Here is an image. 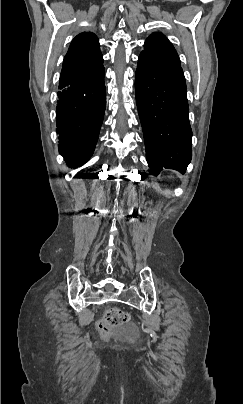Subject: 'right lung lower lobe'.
I'll return each mask as SVG.
<instances>
[{
    "label": "right lung lower lobe",
    "mask_w": 243,
    "mask_h": 404,
    "mask_svg": "<svg viewBox=\"0 0 243 404\" xmlns=\"http://www.w3.org/2000/svg\"><path fill=\"white\" fill-rule=\"evenodd\" d=\"M56 107L59 152L76 168L92 156L106 108L104 66L68 83L58 92Z\"/></svg>",
    "instance_id": "1"
}]
</instances>
